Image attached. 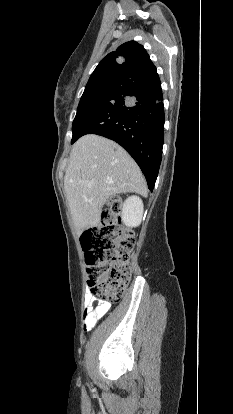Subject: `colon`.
I'll return each instance as SVG.
<instances>
[{
	"label": "colon",
	"instance_id": "obj_1",
	"mask_svg": "<svg viewBox=\"0 0 233 414\" xmlns=\"http://www.w3.org/2000/svg\"><path fill=\"white\" fill-rule=\"evenodd\" d=\"M121 213V201L112 199L102 213L100 225L81 238L90 293L112 302L122 298L130 282V257L135 246L133 232L122 227Z\"/></svg>",
	"mask_w": 233,
	"mask_h": 414
}]
</instances>
